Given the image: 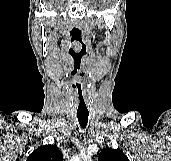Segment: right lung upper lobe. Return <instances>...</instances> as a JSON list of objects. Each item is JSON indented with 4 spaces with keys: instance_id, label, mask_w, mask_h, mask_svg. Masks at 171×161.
<instances>
[{
    "instance_id": "cb5924a9",
    "label": "right lung upper lobe",
    "mask_w": 171,
    "mask_h": 161,
    "mask_svg": "<svg viewBox=\"0 0 171 161\" xmlns=\"http://www.w3.org/2000/svg\"><path fill=\"white\" fill-rule=\"evenodd\" d=\"M27 161H63V157L55 145H43L32 152Z\"/></svg>"
}]
</instances>
